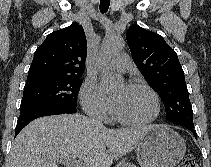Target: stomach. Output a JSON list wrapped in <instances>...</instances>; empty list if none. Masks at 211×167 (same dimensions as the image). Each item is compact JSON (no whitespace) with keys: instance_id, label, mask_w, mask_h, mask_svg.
<instances>
[{"instance_id":"1","label":"stomach","mask_w":211,"mask_h":167,"mask_svg":"<svg viewBox=\"0 0 211 167\" xmlns=\"http://www.w3.org/2000/svg\"><path fill=\"white\" fill-rule=\"evenodd\" d=\"M185 152L183 138L161 125L153 126L136 147L137 161L141 167H175Z\"/></svg>"}]
</instances>
